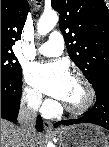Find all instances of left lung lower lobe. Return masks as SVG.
<instances>
[{
  "label": "left lung lower lobe",
  "mask_w": 109,
  "mask_h": 147,
  "mask_svg": "<svg viewBox=\"0 0 109 147\" xmlns=\"http://www.w3.org/2000/svg\"><path fill=\"white\" fill-rule=\"evenodd\" d=\"M94 90L96 92V103L86 115L79 119L62 120L54 126L57 127L60 124L67 126L78 123H92L109 130V77L101 78L94 86Z\"/></svg>",
  "instance_id": "0a47b994"
}]
</instances>
